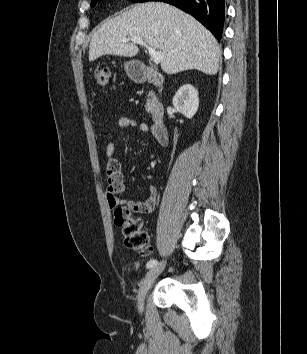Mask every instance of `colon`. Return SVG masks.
Returning a JSON list of instances; mask_svg holds the SVG:
<instances>
[{
	"mask_svg": "<svg viewBox=\"0 0 307 354\" xmlns=\"http://www.w3.org/2000/svg\"><path fill=\"white\" fill-rule=\"evenodd\" d=\"M109 75V70L105 67L96 68L94 71L95 81L100 87L106 86ZM132 212L127 205H117L114 209L115 224L121 228L128 248L143 256H149L153 252L149 236L142 228L141 219L133 217Z\"/></svg>",
	"mask_w": 307,
	"mask_h": 354,
	"instance_id": "5ec220e1",
	"label": "colon"
}]
</instances>
